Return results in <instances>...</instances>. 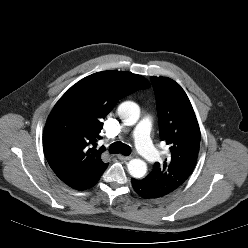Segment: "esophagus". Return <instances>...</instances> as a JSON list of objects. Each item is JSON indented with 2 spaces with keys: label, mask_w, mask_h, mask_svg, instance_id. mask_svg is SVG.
Returning <instances> with one entry per match:
<instances>
[{
  "label": "esophagus",
  "mask_w": 248,
  "mask_h": 248,
  "mask_svg": "<svg viewBox=\"0 0 248 248\" xmlns=\"http://www.w3.org/2000/svg\"><path fill=\"white\" fill-rule=\"evenodd\" d=\"M117 157H118V159H120L122 161H128V160L132 159L131 156H124L122 154L117 155Z\"/></svg>",
  "instance_id": "34e87169"
}]
</instances>
